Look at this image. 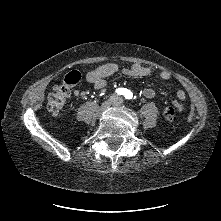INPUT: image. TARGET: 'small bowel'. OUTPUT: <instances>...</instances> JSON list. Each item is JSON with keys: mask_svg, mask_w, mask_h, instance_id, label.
Instances as JSON below:
<instances>
[{"mask_svg": "<svg viewBox=\"0 0 221 221\" xmlns=\"http://www.w3.org/2000/svg\"><path fill=\"white\" fill-rule=\"evenodd\" d=\"M119 70V67L115 63H106L103 64L91 71H89L86 75V79L88 82L93 84L95 89L100 90L103 89L106 85V78L115 74ZM122 73L131 77H145L151 73L150 68L141 65L139 63H135L128 68L122 69ZM160 77L163 80H169L171 78V73L167 70H162L160 72ZM143 95L146 98H153L155 96V91L151 88L143 89ZM186 98V93L183 90H178L176 93V98L173 100L172 104L177 110H181L183 107V101Z\"/></svg>", "mask_w": 221, "mask_h": 221, "instance_id": "obj_1", "label": "small bowel"}]
</instances>
